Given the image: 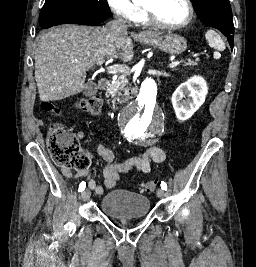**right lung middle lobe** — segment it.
I'll use <instances>...</instances> for the list:
<instances>
[{
    "label": "right lung middle lobe",
    "instance_id": "dd1d6c3e",
    "mask_svg": "<svg viewBox=\"0 0 256 267\" xmlns=\"http://www.w3.org/2000/svg\"><path fill=\"white\" fill-rule=\"evenodd\" d=\"M111 16L107 0H46L39 24L46 28L45 25L61 19L87 17L106 20Z\"/></svg>",
    "mask_w": 256,
    "mask_h": 267
}]
</instances>
